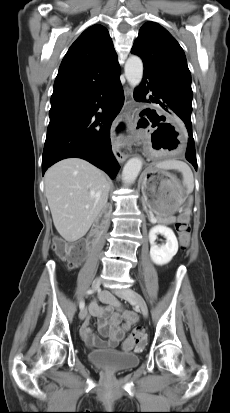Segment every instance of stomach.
<instances>
[{"label": "stomach", "instance_id": "stomach-1", "mask_svg": "<svg viewBox=\"0 0 230 413\" xmlns=\"http://www.w3.org/2000/svg\"><path fill=\"white\" fill-rule=\"evenodd\" d=\"M141 189L145 204L161 222L179 209L185 196L179 180L157 167H150L144 172Z\"/></svg>", "mask_w": 230, "mask_h": 413}]
</instances>
